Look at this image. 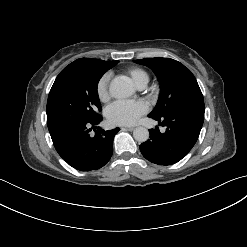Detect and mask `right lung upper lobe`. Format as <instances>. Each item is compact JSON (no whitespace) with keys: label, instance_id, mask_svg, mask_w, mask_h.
<instances>
[{"label":"right lung upper lobe","instance_id":"right-lung-upper-lobe-1","mask_svg":"<svg viewBox=\"0 0 247 247\" xmlns=\"http://www.w3.org/2000/svg\"><path fill=\"white\" fill-rule=\"evenodd\" d=\"M111 62L113 61H102V60L90 59V58H80L70 63L68 66H66L63 69V71L76 70V69H87V68L98 66V65H106Z\"/></svg>","mask_w":247,"mask_h":247}]
</instances>
